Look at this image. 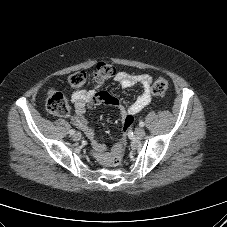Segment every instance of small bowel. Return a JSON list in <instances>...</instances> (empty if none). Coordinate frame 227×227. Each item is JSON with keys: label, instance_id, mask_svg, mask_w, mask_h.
<instances>
[{"label": "small bowel", "instance_id": "small-bowel-1", "mask_svg": "<svg viewBox=\"0 0 227 227\" xmlns=\"http://www.w3.org/2000/svg\"><path fill=\"white\" fill-rule=\"evenodd\" d=\"M115 81L123 88H130L134 85L142 87V93L136 100L128 107H124L118 99L109 95L106 92H99L93 95L91 90H80L72 94V102L74 104V123L85 133L91 140L94 154L97 160L103 165H109L112 157L119 148L124 147V138H121L111 148L96 140L95 133L90 127L87 118L85 117L86 106L94 107L100 103L116 106L125 120L130 116H135L144 107H146L152 100V78L148 74H131L125 71H120L115 76Z\"/></svg>", "mask_w": 227, "mask_h": 227}]
</instances>
